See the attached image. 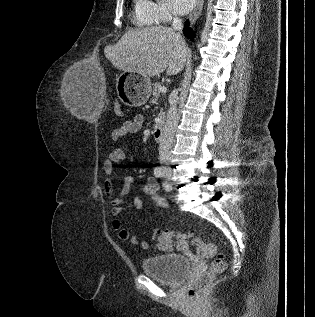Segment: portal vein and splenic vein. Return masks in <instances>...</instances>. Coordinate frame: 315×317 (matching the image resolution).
Wrapping results in <instances>:
<instances>
[{
	"mask_svg": "<svg viewBox=\"0 0 315 317\" xmlns=\"http://www.w3.org/2000/svg\"><path fill=\"white\" fill-rule=\"evenodd\" d=\"M166 91H167L166 87L160 88V92H161V93H166Z\"/></svg>",
	"mask_w": 315,
	"mask_h": 317,
	"instance_id": "18ae733b",
	"label": "portal vein and splenic vein"
}]
</instances>
